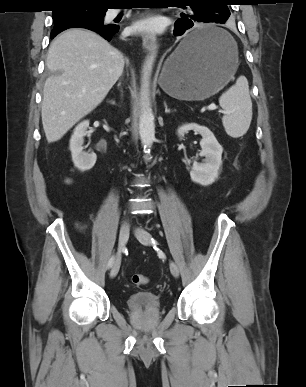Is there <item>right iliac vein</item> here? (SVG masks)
Returning <instances> with one entry per match:
<instances>
[{
  "label": "right iliac vein",
  "mask_w": 306,
  "mask_h": 387,
  "mask_svg": "<svg viewBox=\"0 0 306 387\" xmlns=\"http://www.w3.org/2000/svg\"><path fill=\"white\" fill-rule=\"evenodd\" d=\"M129 233H130V228H129V225L128 224H123L120 228V231H119V249H118V253H117V256L113 262V265H112V268H111V271H110V277L111 278H114L118 272H119V269H120V265H121V252L123 251L127 241H128V238H129Z\"/></svg>",
  "instance_id": "right-iliac-vein-1"
}]
</instances>
